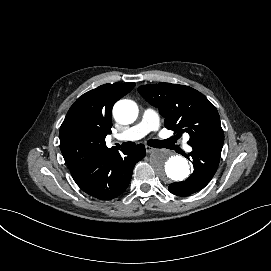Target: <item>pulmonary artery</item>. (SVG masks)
<instances>
[{
  "label": "pulmonary artery",
  "mask_w": 271,
  "mask_h": 271,
  "mask_svg": "<svg viewBox=\"0 0 271 271\" xmlns=\"http://www.w3.org/2000/svg\"><path fill=\"white\" fill-rule=\"evenodd\" d=\"M161 117L153 110L146 109L143 112V118L138 122V125L129 128L126 132L117 134L114 139L119 142L132 141L140 138L143 135H151L161 126ZM179 147L186 153L194 154L196 147L186 140L179 142Z\"/></svg>",
  "instance_id": "obj_1"
}]
</instances>
